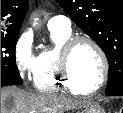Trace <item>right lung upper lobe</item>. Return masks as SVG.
I'll list each match as a JSON object with an SVG mask.
<instances>
[{"label":"right lung upper lobe","instance_id":"1","mask_svg":"<svg viewBox=\"0 0 123 113\" xmlns=\"http://www.w3.org/2000/svg\"><path fill=\"white\" fill-rule=\"evenodd\" d=\"M29 0H1V35L19 34Z\"/></svg>","mask_w":123,"mask_h":113}]
</instances>
